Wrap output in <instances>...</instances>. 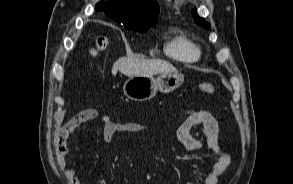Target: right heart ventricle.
<instances>
[{
	"label": "right heart ventricle",
	"mask_w": 293,
	"mask_h": 184,
	"mask_svg": "<svg viewBox=\"0 0 293 184\" xmlns=\"http://www.w3.org/2000/svg\"><path fill=\"white\" fill-rule=\"evenodd\" d=\"M164 51L168 57L186 63L198 61L202 53L200 46L182 31L166 42Z\"/></svg>",
	"instance_id": "right-heart-ventricle-1"
}]
</instances>
